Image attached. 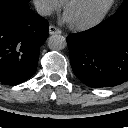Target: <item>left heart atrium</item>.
Here are the masks:
<instances>
[{
	"label": "left heart atrium",
	"instance_id": "left-heart-atrium-1",
	"mask_svg": "<svg viewBox=\"0 0 128 128\" xmlns=\"http://www.w3.org/2000/svg\"><path fill=\"white\" fill-rule=\"evenodd\" d=\"M63 21L66 22V23H71L72 22V20L70 19V17L67 14L64 15Z\"/></svg>",
	"mask_w": 128,
	"mask_h": 128
}]
</instances>
